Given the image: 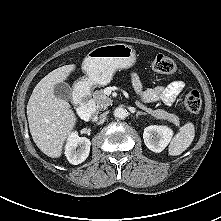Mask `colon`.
I'll use <instances>...</instances> for the list:
<instances>
[{
  "instance_id": "1",
  "label": "colon",
  "mask_w": 221,
  "mask_h": 221,
  "mask_svg": "<svg viewBox=\"0 0 221 221\" xmlns=\"http://www.w3.org/2000/svg\"><path fill=\"white\" fill-rule=\"evenodd\" d=\"M153 69L162 74H172L176 70V64L170 57L159 54L152 61ZM184 105L191 114H196L202 106L201 95L197 90H191L185 95Z\"/></svg>"
}]
</instances>
